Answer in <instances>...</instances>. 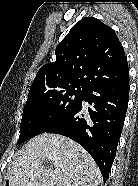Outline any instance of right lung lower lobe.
I'll return each mask as SVG.
<instances>
[{
	"mask_svg": "<svg viewBox=\"0 0 138 186\" xmlns=\"http://www.w3.org/2000/svg\"><path fill=\"white\" fill-rule=\"evenodd\" d=\"M128 100L129 79L118 84L90 86L81 103L46 132L64 135L84 147L106 182L123 129ZM83 101L90 104L87 110Z\"/></svg>",
	"mask_w": 138,
	"mask_h": 186,
	"instance_id": "98d812e1",
	"label": "right lung lower lobe"
}]
</instances>
